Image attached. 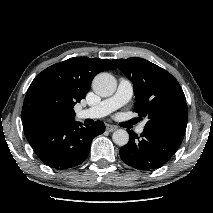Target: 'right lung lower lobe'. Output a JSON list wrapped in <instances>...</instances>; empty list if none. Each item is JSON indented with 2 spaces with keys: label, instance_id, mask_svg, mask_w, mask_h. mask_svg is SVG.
<instances>
[{
  "label": "right lung lower lobe",
  "instance_id": "obj_1",
  "mask_svg": "<svg viewBox=\"0 0 213 213\" xmlns=\"http://www.w3.org/2000/svg\"><path fill=\"white\" fill-rule=\"evenodd\" d=\"M23 129L43 163L55 169H66L87 158L93 138L105 131V124L97 121L93 126L83 127L76 121L66 124L25 121Z\"/></svg>",
  "mask_w": 213,
  "mask_h": 213
}]
</instances>
